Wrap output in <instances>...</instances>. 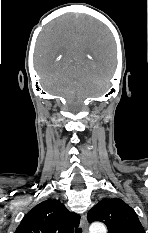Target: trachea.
Segmentation results:
<instances>
[{"label": "trachea", "instance_id": "obj_1", "mask_svg": "<svg viewBox=\"0 0 148 233\" xmlns=\"http://www.w3.org/2000/svg\"><path fill=\"white\" fill-rule=\"evenodd\" d=\"M76 233H82V229H80V228L77 229V230H76Z\"/></svg>", "mask_w": 148, "mask_h": 233}]
</instances>
